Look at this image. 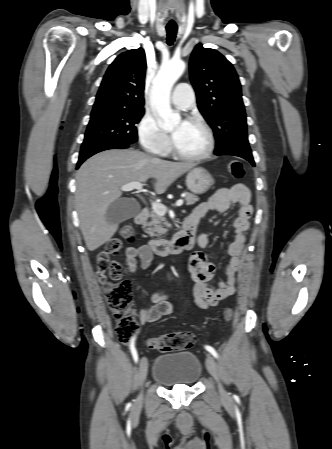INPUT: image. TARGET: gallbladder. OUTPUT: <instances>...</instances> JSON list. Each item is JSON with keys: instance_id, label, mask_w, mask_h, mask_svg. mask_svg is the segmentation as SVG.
Wrapping results in <instances>:
<instances>
[{"instance_id": "obj_1", "label": "gallbladder", "mask_w": 332, "mask_h": 449, "mask_svg": "<svg viewBox=\"0 0 332 449\" xmlns=\"http://www.w3.org/2000/svg\"><path fill=\"white\" fill-rule=\"evenodd\" d=\"M140 211V206L132 198H119L109 205L106 211V220L110 223L124 222Z\"/></svg>"}]
</instances>
